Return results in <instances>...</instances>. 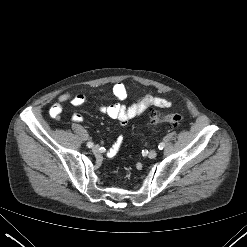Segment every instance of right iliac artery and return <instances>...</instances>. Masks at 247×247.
Here are the masks:
<instances>
[{"label": "right iliac artery", "mask_w": 247, "mask_h": 247, "mask_svg": "<svg viewBox=\"0 0 247 247\" xmlns=\"http://www.w3.org/2000/svg\"><path fill=\"white\" fill-rule=\"evenodd\" d=\"M93 145H94V143H93V142H87V146H88L89 148H92V147H93Z\"/></svg>", "instance_id": "obj_1"}]
</instances>
